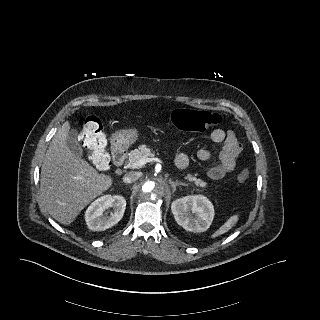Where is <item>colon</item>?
<instances>
[{
	"instance_id": "obj_1",
	"label": "colon",
	"mask_w": 320,
	"mask_h": 320,
	"mask_svg": "<svg viewBox=\"0 0 320 320\" xmlns=\"http://www.w3.org/2000/svg\"><path fill=\"white\" fill-rule=\"evenodd\" d=\"M173 124L182 131L201 133L219 125L222 118L217 113L181 108L173 111L171 115ZM84 148L90 153L94 165L99 169H108L110 158L105 152L106 136L102 122L96 116H88L81 120ZM248 169L243 168L237 174L239 182L249 179Z\"/></svg>"
}]
</instances>
